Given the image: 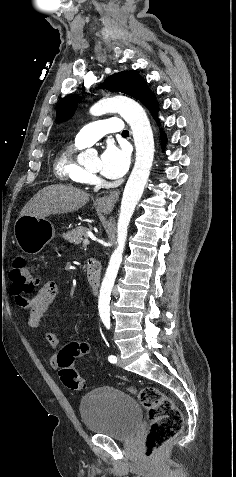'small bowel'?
Returning <instances> with one entry per match:
<instances>
[{"label":"small bowel","instance_id":"c3829d8e","mask_svg":"<svg viewBox=\"0 0 236 477\" xmlns=\"http://www.w3.org/2000/svg\"><path fill=\"white\" fill-rule=\"evenodd\" d=\"M58 292L57 283L53 280L46 281L38 292L30 299L24 298L20 306L28 311V325L31 328L41 329L43 316L48 307L53 303ZM45 340L52 346L59 344L57 335L48 329H43ZM49 365L57 367V356L51 355Z\"/></svg>","mask_w":236,"mask_h":477}]
</instances>
